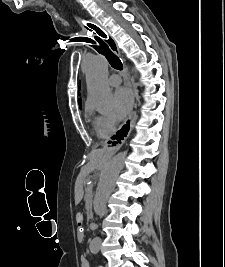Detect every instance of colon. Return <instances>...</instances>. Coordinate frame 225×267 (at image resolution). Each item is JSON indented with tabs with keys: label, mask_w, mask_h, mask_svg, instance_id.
<instances>
[{
	"label": "colon",
	"mask_w": 225,
	"mask_h": 267,
	"mask_svg": "<svg viewBox=\"0 0 225 267\" xmlns=\"http://www.w3.org/2000/svg\"><path fill=\"white\" fill-rule=\"evenodd\" d=\"M76 222L80 225L83 221V216L81 212H77L75 215Z\"/></svg>",
	"instance_id": "5ec220e1"
}]
</instances>
